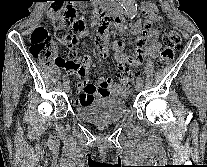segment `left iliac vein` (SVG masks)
<instances>
[{"label":"left iliac vein","instance_id":"obj_1","mask_svg":"<svg viewBox=\"0 0 207 167\" xmlns=\"http://www.w3.org/2000/svg\"><path fill=\"white\" fill-rule=\"evenodd\" d=\"M142 89V82L137 81L135 84V91L139 92Z\"/></svg>","mask_w":207,"mask_h":167}]
</instances>
